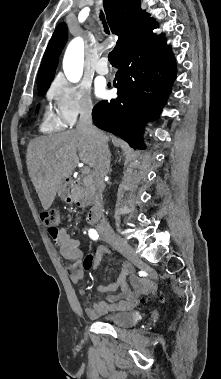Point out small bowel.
Here are the masks:
<instances>
[{
    "label": "small bowel",
    "mask_w": 221,
    "mask_h": 379,
    "mask_svg": "<svg viewBox=\"0 0 221 379\" xmlns=\"http://www.w3.org/2000/svg\"><path fill=\"white\" fill-rule=\"evenodd\" d=\"M51 237L58 245L61 255L71 261L67 266L69 278L79 287L80 293L84 294V276L98 267L103 255L107 252L106 249L100 247L95 253H87L86 260L83 261L84 254L80 249L79 240L72 238L66 228L58 229L56 234ZM117 289H120V292H116ZM97 290L107 293V296L85 308L86 314L92 318L111 311L132 309L149 293L146 280L135 276L125 265L116 282L109 285L99 284Z\"/></svg>",
    "instance_id": "small-bowel-1"
}]
</instances>
